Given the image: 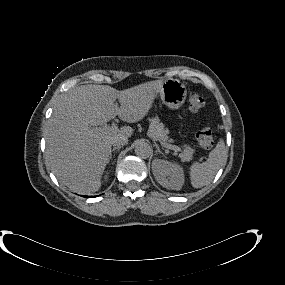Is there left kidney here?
<instances>
[{
	"instance_id": "obj_1",
	"label": "left kidney",
	"mask_w": 285,
	"mask_h": 285,
	"mask_svg": "<svg viewBox=\"0 0 285 285\" xmlns=\"http://www.w3.org/2000/svg\"><path fill=\"white\" fill-rule=\"evenodd\" d=\"M152 172L157 182L167 189L180 190L184 184L183 169L169 161L155 159Z\"/></svg>"
}]
</instances>
